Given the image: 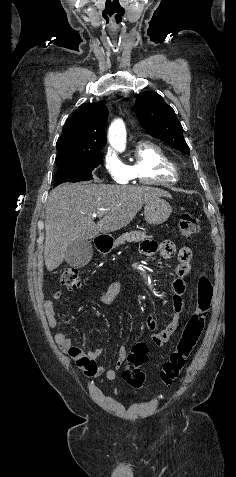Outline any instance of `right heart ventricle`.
Returning <instances> with one entry per match:
<instances>
[{"instance_id": "right-heart-ventricle-1", "label": "right heart ventricle", "mask_w": 236, "mask_h": 477, "mask_svg": "<svg viewBox=\"0 0 236 477\" xmlns=\"http://www.w3.org/2000/svg\"><path fill=\"white\" fill-rule=\"evenodd\" d=\"M133 182L147 185H167L176 183L179 172L175 162L157 144L145 141L140 143L133 160L127 166Z\"/></svg>"}]
</instances>
